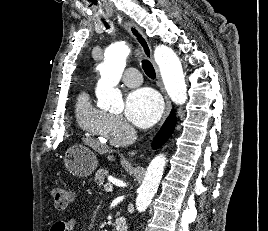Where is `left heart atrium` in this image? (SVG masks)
Returning <instances> with one entry per match:
<instances>
[{
    "instance_id": "1",
    "label": "left heart atrium",
    "mask_w": 268,
    "mask_h": 231,
    "mask_svg": "<svg viewBox=\"0 0 268 231\" xmlns=\"http://www.w3.org/2000/svg\"><path fill=\"white\" fill-rule=\"evenodd\" d=\"M163 104L157 92L150 88H140L130 92L125 102V115L129 122L148 128L161 117Z\"/></svg>"
}]
</instances>
